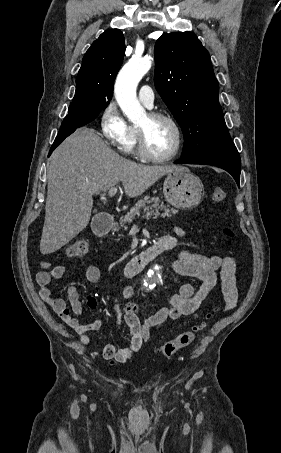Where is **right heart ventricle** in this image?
<instances>
[{
    "mask_svg": "<svg viewBox=\"0 0 281 453\" xmlns=\"http://www.w3.org/2000/svg\"><path fill=\"white\" fill-rule=\"evenodd\" d=\"M138 130L137 126L127 124V131L119 143V149L125 154H132L137 150Z\"/></svg>",
    "mask_w": 281,
    "mask_h": 453,
    "instance_id": "e07e8e85",
    "label": "right heart ventricle"
}]
</instances>
